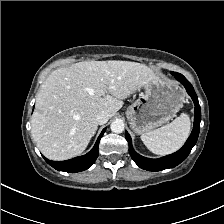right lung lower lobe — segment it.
<instances>
[{
  "instance_id": "1",
  "label": "right lung lower lobe",
  "mask_w": 224,
  "mask_h": 224,
  "mask_svg": "<svg viewBox=\"0 0 224 224\" xmlns=\"http://www.w3.org/2000/svg\"><path fill=\"white\" fill-rule=\"evenodd\" d=\"M106 128L99 135L94 147L84 156L76 157L67 161H51L44 157L45 161L53 168L65 172H80L91 167L98 157V145Z\"/></svg>"
}]
</instances>
